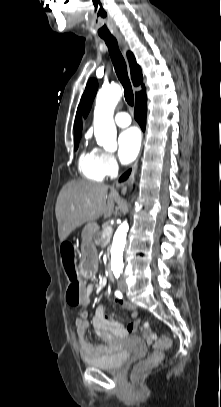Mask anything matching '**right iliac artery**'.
<instances>
[{"instance_id":"right-iliac-artery-1","label":"right iliac artery","mask_w":221,"mask_h":407,"mask_svg":"<svg viewBox=\"0 0 221 407\" xmlns=\"http://www.w3.org/2000/svg\"><path fill=\"white\" fill-rule=\"evenodd\" d=\"M115 296H117V297H120V298H121V297H122V294H121V292H120V291H118V290H117V291L115 292Z\"/></svg>"}]
</instances>
